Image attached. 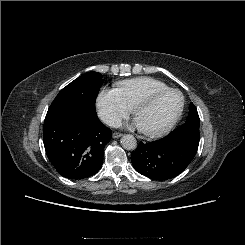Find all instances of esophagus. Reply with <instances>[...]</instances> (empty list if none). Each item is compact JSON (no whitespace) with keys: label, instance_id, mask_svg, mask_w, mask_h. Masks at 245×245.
Returning <instances> with one entry per match:
<instances>
[{"label":"esophagus","instance_id":"34e87169","mask_svg":"<svg viewBox=\"0 0 245 245\" xmlns=\"http://www.w3.org/2000/svg\"><path fill=\"white\" fill-rule=\"evenodd\" d=\"M121 136H122V134H121V133H118V132H114V133L112 134V137H113L114 139L120 138Z\"/></svg>","mask_w":245,"mask_h":245}]
</instances>
